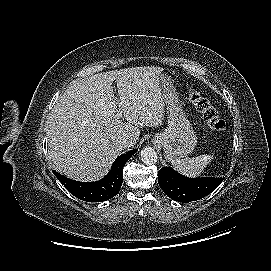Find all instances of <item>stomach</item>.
Returning a JSON list of instances; mask_svg holds the SVG:
<instances>
[{
  "mask_svg": "<svg viewBox=\"0 0 271 271\" xmlns=\"http://www.w3.org/2000/svg\"><path fill=\"white\" fill-rule=\"evenodd\" d=\"M160 82L168 114V126L153 137V143L163 148L166 160L172 162L191 154L197 144V137L171 76L163 72Z\"/></svg>",
  "mask_w": 271,
  "mask_h": 271,
  "instance_id": "obj_1",
  "label": "stomach"
}]
</instances>
